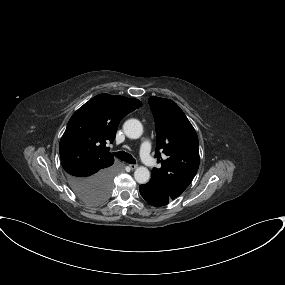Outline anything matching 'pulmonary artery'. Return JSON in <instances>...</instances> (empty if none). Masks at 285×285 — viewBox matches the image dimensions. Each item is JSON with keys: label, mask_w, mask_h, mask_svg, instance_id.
<instances>
[{"label": "pulmonary artery", "mask_w": 285, "mask_h": 285, "mask_svg": "<svg viewBox=\"0 0 285 285\" xmlns=\"http://www.w3.org/2000/svg\"><path fill=\"white\" fill-rule=\"evenodd\" d=\"M139 153L146 166L153 167L155 165V160L150 154V143L148 141L141 144Z\"/></svg>", "instance_id": "obj_1"}]
</instances>
